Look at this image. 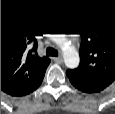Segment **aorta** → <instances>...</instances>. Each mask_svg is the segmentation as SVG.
<instances>
[{
  "label": "aorta",
  "instance_id": "obj_1",
  "mask_svg": "<svg viewBox=\"0 0 115 114\" xmlns=\"http://www.w3.org/2000/svg\"><path fill=\"white\" fill-rule=\"evenodd\" d=\"M53 40L62 48L65 65L68 68H72V69L78 67L80 62L79 54L75 48L66 45L67 43L66 36L57 35L54 36Z\"/></svg>",
  "mask_w": 115,
  "mask_h": 114
}]
</instances>
